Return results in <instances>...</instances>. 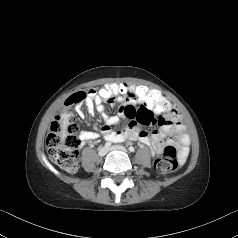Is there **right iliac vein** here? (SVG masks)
I'll use <instances>...</instances> for the list:
<instances>
[{
    "label": "right iliac vein",
    "instance_id": "63e3f726",
    "mask_svg": "<svg viewBox=\"0 0 238 238\" xmlns=\"http://www.w3.org/2000/svg\"><path fill=\"white\" fill-rule=\"evenodd\" d=\"M108 152V149L106 147H100L98 150V155L100 157H104Z\"/></svg>",
    "mask_w": 238,
    "mask_h": 238
}]
</instances>
